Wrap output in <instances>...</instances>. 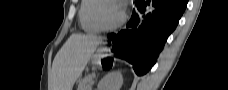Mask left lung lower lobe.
Instances as JSON below:
<instances>
[{"instance_id":"1","label":"left lung lower lobe","mask_w":228,"mask_h":90,"mask_svg":"<svg viewBox=\"0 0 228 90\" xmlns=\"http://www.w3.org/2000/svg\"><path fill=\"white\" fill-rule=\"evenodd\" d=\"M187 2L154 0L152 5L155 9L147 15L138 29L122 30L108 35L114 46L112 52L131 63L137 75L146 74L155 64L168 36L176 28ZM147 4H150V0H135V8L127 27L137 26L138 13L144 12Z\"/></svg>"}]
</instances>
